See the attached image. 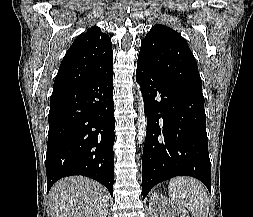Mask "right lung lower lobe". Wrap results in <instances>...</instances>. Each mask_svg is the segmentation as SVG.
Returning <instances> with one entry per match:
<instances>
[{"instance_id": "98d812e1", "label": "right lung lower lobe", "mask_w": 253, "mask_h": 217, "mask_svg": "<svg viewBox=\"0 0 253 217\" xmlns=\"http://www.w3.org/2000/svg\"><path fill=\"white\" fill-rule=\"evenodd\" d=\"M113 68L79 86L53 92L46 154L47 190L60 178L83 175L113 196L115 117Z\"/></svg>"}]
</instances>
